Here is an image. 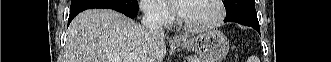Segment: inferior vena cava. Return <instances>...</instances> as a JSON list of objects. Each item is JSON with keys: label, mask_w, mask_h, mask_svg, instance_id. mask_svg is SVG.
<instances>
[{"label": "inferior vena cava", "mask_w": 331, "mask_h": 62, "mask_svg": "<svg viewBox=\"0 0 331 62\" xmlns=\"http://www.w3.org/2000/svg\"><path fill=\"white\" fill-rule=\"evenodd\" d=\"M142 24L147 32L155 35H164L162 9L157 6H147L144 10Z\"/></svg>", "instance_id": "602c4592"}]
</instances>
